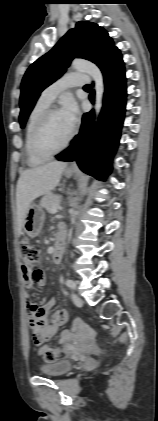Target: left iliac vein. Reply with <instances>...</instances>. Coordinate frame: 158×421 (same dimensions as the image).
<instances>
[{"instance_id":"obj_1","label":"left iliac vein","mask_w":158,"mask_h":421,"mask_svg":"<svg viewBox=\"0 0 158 421\" xmlns=\"http://www.w3.org/2000/svg\"><path fill=\"white\" fill-rule=\"evenodd\" d=\"M72 300H73L74 304L77 305V306L83 305L82 299L75 293L72 294Z\"/></svg>"}]
</instances>
